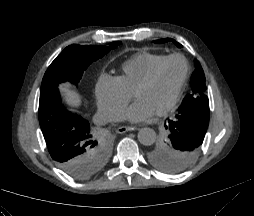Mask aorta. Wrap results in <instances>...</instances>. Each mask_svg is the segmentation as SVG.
I'll use <instances>...</instances> for the list:
<instances>
[{
    "instance_id": "aorta-1",
    "label": "aorta",
    "mask_w": 254,
    "mask_h": 216,
    "mask_svg": "<svg viewBox=\"0 0 254 216\" xmlns=\"http://www.w3.org/2000/svg\"><path fill=\"white\" fill-rule=\"evenodd\" d=\"M138 140L142 145L150 146L156 140V132L149 127L141 128L138 132Z\"/></svg>"
}]
</instances>
